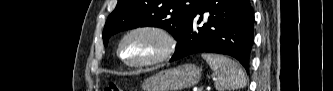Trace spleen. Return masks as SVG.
Here are the masks:
<instances>
[{
    "label": "spleen",
    "mask_w": 333,
    "mask_h": 91,
    "mask_svg": "<svg viewBox=\"0 0 333 91\" xmlns=\"http://www.w3.org/2000/svg\"><path fill=\"white\" fill-rule=\"evenodd\" d=\"M201 56L217 73V91H234L246 86L245 73L236 61L218 54L203 53Z\"/></svg>",
    "instance_id": "spleen-1"
}]
</instances>
